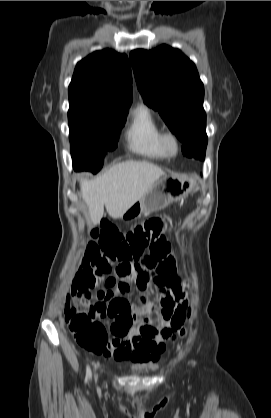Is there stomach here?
<instances>
[{
	"label": "stomach",
	"instance_id": "obj_1",
	"mask_svg": "<svg viewBox=\"0 0 271 418\" xmlns=\"http://www.w3.org/2000/svg\"><path fill=\"white\" fill-rule=\"evenodd\" d=\"M197 179L196 175L161 176L141 199L121 215L120 219L129 221L142 214H151L166 208L169 204L192 193L197 186Z\"/></svg>",
	"mask_w": 271,
	"mask_h": 418
}]
</instances>
